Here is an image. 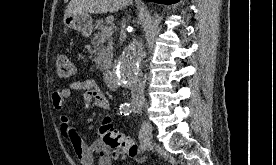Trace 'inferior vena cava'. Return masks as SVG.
<instances>
[{"label":"inferior vena cava","mask_w":276,"mask_h":165,"mask_svg":"<svg viewBox=\"0 0 276 165\" xmlns=\"http://www.w3.org/2000/svg\"><path fill=\"white\" fill-rule=\"evenodd\" d=\"M126 31V19L123 18L121 23V35L125 37ZM131 97L133 102L143 103L144 98V82L140 79L139 76H134L132 78L131 84Z\"/></svg>","instance_id":"1"}]
</instances>
